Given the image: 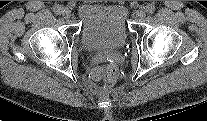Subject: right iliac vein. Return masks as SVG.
<instances>
[{
    "label": "right iliac vein",
    "instance_id": "right-iliac-vein-1",
    "mask_svg": "<svg viewBox=\"0 0 207 121\" xmlns=\"http://www.w3.org/2000/svg\"><path fill=\"white\" fill-rule=\"evenodd\" d=\"M62 16L65 19H69L71 17V11L69 9H67V8H64L63 12H62Z\"/></svg>",
    "mask_w": 207,
    "mask_h": 121
}]
</instances>
